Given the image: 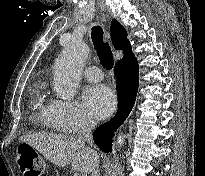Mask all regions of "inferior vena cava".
I'll return each mask as SVG.
<instances>
[{"label":"inferior vena cava","instance_id":"obj_1","mask_svg":"<svg viewBox=\"0 0 205 176\" xmlns=\"http://www.w3.org/2000/svg\"><path fill=\"white\" fill-rule=\"evenodd\" d=\"M95 128V121L88 117H83L81 121V126L78 132V141L82 144L87 142L89 144V148L96 153L95 150L92 149L93 146V138L92 131ZM91 176H100L99 172V161H96L93 172Z\"/></svg>","mask_w":205,"mask_h":176}]
</instances>
